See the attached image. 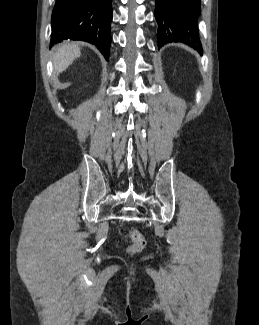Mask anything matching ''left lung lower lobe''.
<instances>
[{
    "mask_svg": "<svg viewBox=\"0 0 259 325\" xmlns=\"http://www.w3.org/2000/svg\"><path fill=\"white\" fill-rule=\"evenodd\" d=\"M155 18L158 23V46L182 42L196 50L201 49L198 19L200 0H155Z\"/></svg>",
    "mask_w": 259,
    "mask_h": 325,
    "instance_id": "obj_1",
    "label": "left lung lower lobe"
}]
</instances>
